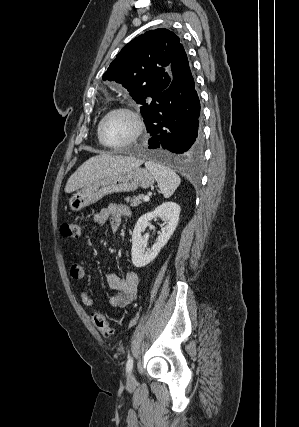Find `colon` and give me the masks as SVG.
<instances>
[{"label": "colon", "mask_w": 299, "mask_h": 427, "mask_svg": "<svg viewBox=\"0 0 299 427\" xmlns=\"http://www.w3.org/2000/svg\"><path fill=\"white\" fill-rule=\"evenodd\" d=\"M60 232L64 237L78 238L82 232V226L79 221H71L64 223L60 227ZM93 324L95 325L98 332L105 338L110 339L113 336V330L107 320V318L101 313H93L92 316Z\"/></svg>", "instance_id": "5ec220e1"}]
</instances>
